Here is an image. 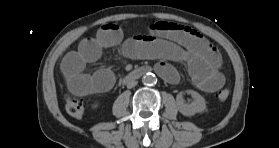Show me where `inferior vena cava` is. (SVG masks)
<instances>
[{"instance_id":"1","label":"inferior vena cava","mask_w":279,"mask_h":148,"mask_svg":"<svg viewBox=\"0 0 279 148\" xmlns=\"http://www.w3.org/2000/svg\"><path fill=\"white\" fill-rule=\"evenodd\" d=\"M137 83L138 82L135 80L129 81L127 84V88L131 89V88L135 87L137 85Z\"/></svg>"}]
</instances>
